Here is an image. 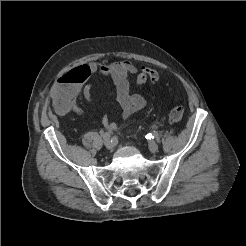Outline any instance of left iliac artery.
<instances>
[{
    "label": "left iliac artery",
    "instance_id": "44dca946",
    "mask_svg": "<svg viewBox=\"0 0 246 246\" xmlns=\"http://www.w3.org/2000/svg\"><path fill=\"white\" fill-rule=\"evenodd\" d=\"M158 132L157 131H153L152 133H149L147 136H146V138H148V139H154V138H157L158 137Z\"/></svg>",
    "mask_w": 246,
    "mask_h": 246
}]
</instances>
